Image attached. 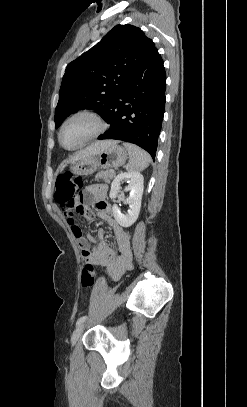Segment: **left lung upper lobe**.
<instances>
[{"instance_id":"5c2ea615","label":"left lung upper lobe","mask_w":247,"mask_h":407,"mask_svg":"<svg viewBox=\"0 0 247 407\" xmlns=\"http://www.w3.org/2000/svg\"><path fill=\"white\" fill-rule=\"evenodd\" d=\"M138 27L117 25L65 71L55 110V128L81 109L97 110L107 121L124 86L156 51Z\"/></svg>"}]
</instances>
